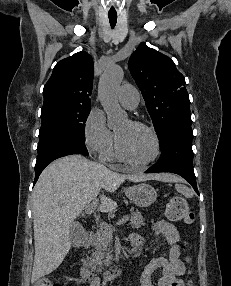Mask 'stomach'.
I'll list each match as a JSON object with an SVG mask.
<instances>
[{"mask_svg":"<svg viewBox=\"0 0 231 286\" xmlns=\"http://www.w3.org/2000/svg\"><path fill=\"white\" fill-rule=\"evenodd\" d=\"M128 199L138 207H148L157 198L156 190L147 183H140L125 188Z\"/></svg>","mask_w":231,"mask_h":286,"instance_id":"obj_1","label":"stomach"}]
</instances>
